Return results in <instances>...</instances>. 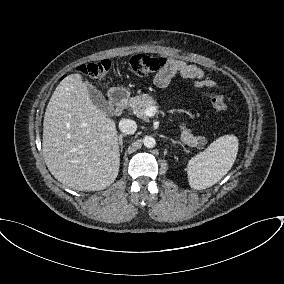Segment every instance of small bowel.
<instances>
[{"label":"small bowel","instance_id":"1","mask_svg":"<svg viewBox=\"0 0 284 284\" xmlns=\"http://www.w3.org/2000/svg\"><path fill=\"white\" fill-rule=\"evenodd\" d=\"M166 60V65L154 77L156 86L160 88L167 87L176 75L196 80V88L212 87L215 85L213 81L205 79V73L199 66L175 58H167Z\"/></svg>","mask_w":284,"mask_h":284}]
</instances>
